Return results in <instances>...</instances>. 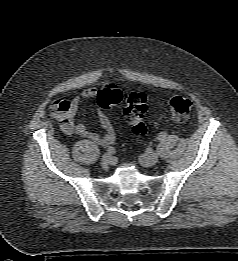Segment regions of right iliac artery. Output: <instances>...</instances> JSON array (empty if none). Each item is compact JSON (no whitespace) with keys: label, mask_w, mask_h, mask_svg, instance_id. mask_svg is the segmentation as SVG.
I'll return each mask as SVG.
<instances>
[{"label":"right iliac artery","mask_w":238,"mask_h":261,"mask_svg":"<svg viewBox=\"0 0 238 261\" xmlns=\"http://www.w3.org/2000/svg\"><path fill=\"white\" fill-rule=\"evenodd\" d=\"M107 153H108L109 155H113V154L115 153V149H114L113 147H108Z\"/></svg>","instance_id":"82829eb1"}]
</instances>
